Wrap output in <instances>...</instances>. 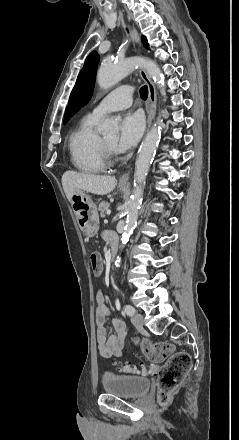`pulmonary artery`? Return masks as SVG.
<instances>
[{"label": "pulmonary artery", "instance_id": "pulmonary-artery-1", "mask_svg": "<svg viewBox=\"0 0 239 440\" xmlns=\"http://www.w3.org/2000/svg\"><path fill=\"white\" fill-rule=\"evenodd\" d=\"M133 92L134 87L131 86L114 89L93 107L89 116L99 119L108 112L129 107L132 104Z\"/></svg>", "mask_w": 239, "mask_h": 440}]
</instances>
